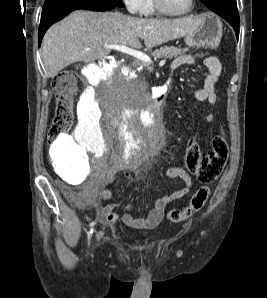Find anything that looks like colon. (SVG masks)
<instances>
[{
	"label": "colon",
	"mask_w": 267,
	"mask_h": 298,
	"mask_svg": "<svg viewBox=\"0 0 267 298\" xmlns=\"http://www.w3.org/2000/svg\"><path fill=\"white\" fill-rule=\"evenodd\" d=\"M76 77L70 71L58 73L53 80L56 98V111L49 130V143L57 148L63 142V136L72 128L74 121L73 96L76 91ZM229 153V144L225 134L221 133L212 140L211 150L204 153L194 139H189L185 148L184 161L189 174L201 184L189 204L182 209H172L168 219L182 222L199 212L210 195V185L222 173Z\"/></svg>",
	"instance_id": "colon-1"
}]
</instances>
